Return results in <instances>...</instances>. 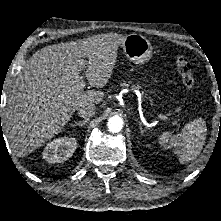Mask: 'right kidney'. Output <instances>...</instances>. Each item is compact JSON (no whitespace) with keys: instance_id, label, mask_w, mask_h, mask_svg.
Masks as SVG:
<instances>
[{"instance_id":"1","label":"right kidney","mask_w":221,"mask_h":221,"mask_svg":"<svg viewBox=\"0 0 221 221\" xmlns=\"http://www.w3.org/2000/svg\"><path fill=\"white\" fill-rule=\"evenodd\" d=\"M76 148L75 138H57L47 144L43 151V159L52 164L63 162L73 155Z\"/></svg>"}]
</instances>
